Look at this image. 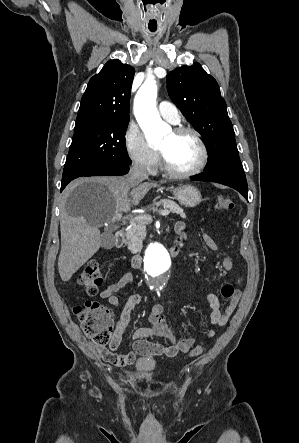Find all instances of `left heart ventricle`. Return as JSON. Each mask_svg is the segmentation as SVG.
I'll return each mask as SVG.
<instances>
[{"label":"left heart ventricle","instance_id":"left-heart-ventricle-1","mask_svg":"<svg viewBox=\"0 0 299 443\" xmlns=\"http://www.w3.org/2000/svg\"><path fill=\"white\" fill-rule=\"evenodd\" d=\"M167 164L177 171L192 169L199 161L200 151L191 134L175 135L170 132L159 144Z\"/></svg>","mask_w":299,"mask_h":443}]
</instances>
